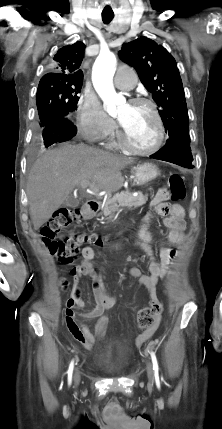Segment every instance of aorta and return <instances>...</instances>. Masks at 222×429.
I'll list each match as a JSON object with an SVG mask.
<instances>
[{
    "instance_id": "1",
    "label": "aorta",
    "mask_w": 222,
    "mask_h": 429,
    "mask_svg": "<svg viewBox=\"0 0 222 429\" xmlns=\"http://www.w3.org/2000/svg\"><path fill=\"white\" fill-rule=\"evenodd\" d=\"M116 70V57L113 53L101 52L97 57L92 73L93 85L103 101L109 114L117 110V106L124 103V98L118 95L113 86V76Z\"/></svg>"
}]
</instances>
